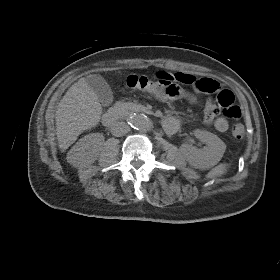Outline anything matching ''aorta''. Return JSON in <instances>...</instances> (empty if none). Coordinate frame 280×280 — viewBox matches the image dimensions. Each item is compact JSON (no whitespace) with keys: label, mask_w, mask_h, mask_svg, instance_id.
Masks as SVG:
<instances>
[{"label":"aorta","mask_w":280,"mask_h":280,"mask_svg":"<svg viewBox=\"0 0 280 280\" xmlns=\"http://www.w3.org/2000/svg\"><path fill=\"white\" fill-rule=\"evenodd\" d=\"M128 123L131 127L137 130H149L152 126V123L144 114H131L128 117Z\"/></svg>","instance_id":"762f6f07"}]
</instances>
